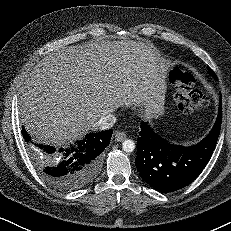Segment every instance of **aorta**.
<instances>
[{
    "mask_svg": "<svg viewBox=\"0 0 231 231\" xmlns=\"http://www.w3.org/2000/svg\"><path fill=\"white\" fill-rule=\"evenodd\" d=\"M122 148L125 152H133L135 149V143L134 141L127 139L123 141Z\"/></svg>",
    "mask_w": 231,
    "mask_h": 231,
    "instance_id": "aorta-1",
    "label": "aorta"
}]
</instances>
